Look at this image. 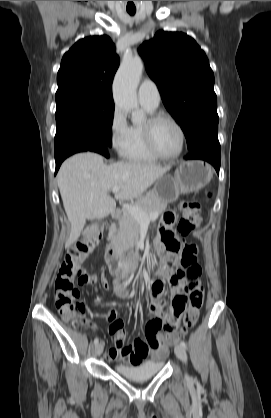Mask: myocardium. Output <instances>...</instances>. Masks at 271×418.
Masks as SVG:
<instances>
[{"label": "myocardium", "mask_w": 271, "mask_h": 418, "mask_svg": "<svg viewBox=\"0 0 271 418\" xmlns=\"http://www.w3.org/2000/svg\"><path fill=\"white\" fill-rule=\"evenodd\" d=\"M161 121H168L172 123L180 134V148L177 153L174 155H164L156 147L154 140V131L157 124ZM143 134L146 146L148 150L153 154L157 159L161 160H174L178 158L184 151L186 143V134L182 125L172 116L165 113H153L151 114L145 123L143 124Z\"/></svg>", "instance_id": "1"}]
</instances>
